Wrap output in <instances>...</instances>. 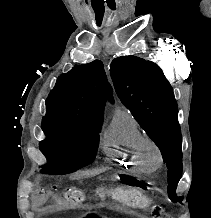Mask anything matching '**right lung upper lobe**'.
I'll return each instance as SVG.
<instances>
[{
	"label": "right lung upper lobe",
	"instance_id": "obj_1",
	"mask_svg": "<svg viewBox=\"0 0 211 218\" xmlns=\"http://www.w3.org/2000/svg\"><path fill=\"white\" fill-rule=\"evenodd\" d=\"M113 101L100 60L75 66L60 75L46 100L47 114L103 120L106 99Z\"/></svg>",
	"mask_w": 211,
	"mask_h": 218
}]
</instances>
